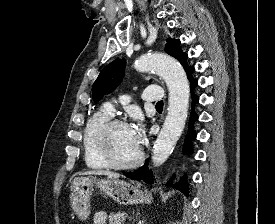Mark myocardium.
<instances>
[{
  "instance_id": "1",
  "label": "myocardium",
  "mask_w": 275,
  "mask_h": 224,
  "mask_svg": "<svg viewBox=\"0 0 275 224\" xmlns=\"http://www.w3.org/2000/svg\"><path fill=\"white\" fill-rule=\"evenodd\" d=\"M115 126H128V124L120 118L111 117L99 126L95 135V146L99 155L108 167L114 169L124 170L138 166L142 162L144 156L143 150L140 146L137 156L129 162H118L114 158L109 143V134Z\"/></svg>"
}]
</instances>
